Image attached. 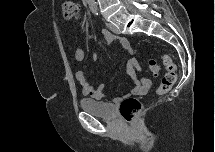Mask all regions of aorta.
Returning <instances> with one entry per match:
<instances>
[{
	"label": "aorta",
	"mask_w": 215,
	"mask_h": 152,
	"mask_svg": "<svg viewBox=\"0 0 215 152\" xmlns=\"http://www.w3.org/2000/svg\"><path fill=\"white\" fill-rule=\"evenodd\" d=\"M89 2V6L93 9V8H96V1L95 0H88Z\"/></svg>",
	"instance_id": "obj_1"
}]
</instances>
